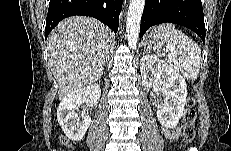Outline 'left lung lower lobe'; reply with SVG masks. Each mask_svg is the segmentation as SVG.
<instances>
[{"mask_svg":"<svg viewBox=\"0 0 231 151\" xmlns=\"http://www.w3.org/2000/svg\"><path fill=\"white\" fill-rule=\"evenodd\" d=\"M182 25L205 42V24L201 0H146L140 24V38L160 23Z\"/></svg>","mask_w":231,"mask_h":151,"instance_id":"1","label":"left lung lower lobe"}]
</instances>
